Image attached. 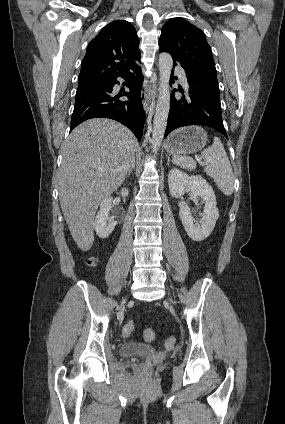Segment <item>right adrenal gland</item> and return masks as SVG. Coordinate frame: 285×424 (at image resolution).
Instances as JSON below:
<instances>
[{"label":"right adrenal gland","mask_w":285,"mask_h":424,"mask_svg":"<svg viewBox=\"0 0 285 424\" xmlns=\"http://www.w3.org/2000/svg\"><path fill=\"white\" fill-rule=\"evenodd\" d=\"M134 169H135V159L133 160L131 167L128 170V173L126 174V177H129Z\"/></svg>","instance_id":"1"}]
</instances>
